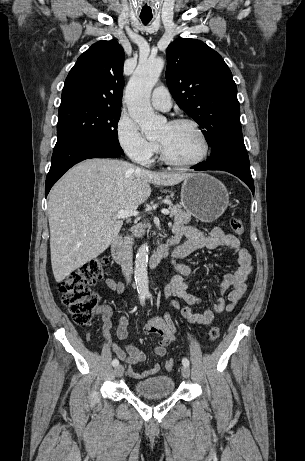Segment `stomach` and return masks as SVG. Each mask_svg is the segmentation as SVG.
<instances>
[{
  "instance_id": "stomach-1",
  "label": "stomach",
  "mask_w": 305,
  "mask_h": 461,
  "mask_svg": "<svg viewBox=\"0 0 305 461\" xmlns=\"http://www.w3.org/2000/svg\"><path fill=\"white\" fill-rule=\"evenodd\" d=\"M180 199L185 210L203 222L216 220L229 205V194L224 184L206 173L191 174L185 179Z\"/></svg>"
}]
</instances>
